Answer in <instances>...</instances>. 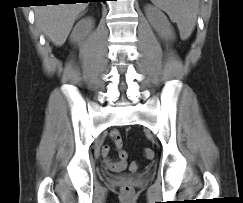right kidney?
Returning a JSON list of instances; mask_svg holds the SVG:
<instances>
[{
	"instance_id": "obj_1",
	"label": "right kidney",
	"mask_w": 243,
	"mask_h": 203,
	"mask_svg": "<svg viewBox=\"0 0 243 203\" xmlns=\"http://www.w3.org/2000/svg\"><path fill=\"white\" fill-rule=\"evenodd\" d=\"M93 20L92 18H84L80 20L74 27L70 40L73 43H79L82 39H84L93 29Z\"/></svg>"
}]
</instances>
